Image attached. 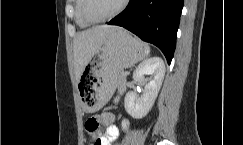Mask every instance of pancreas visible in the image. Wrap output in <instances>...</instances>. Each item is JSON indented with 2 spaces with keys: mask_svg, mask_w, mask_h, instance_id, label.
I'll return each instance as SVG.
<instances>
[{
  "mask_svg": "<svg viewBox=\"0 0 243 145\" xmlns=\"http://www.w3.org/2000/svg\"><path fill=\"white\" fill-rule=\"evenodd\" d=\"M117 81H118L119 88L123 89L126 83V76H124L123 73H119Z\"/></svg>",
  "mask_w": 243,
  "mask_h": 145,
  "instance_id": "cf45deb5",
  "label": "pancreas"
}]
</instances>
